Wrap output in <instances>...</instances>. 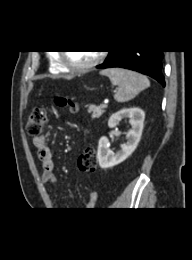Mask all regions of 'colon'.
<instances>
[{
  "label": "colon",
  "instance_id": "5ec220e1",
  "mask_svg": "<svg viewBox=\"0 0 192 260\" xmlns=\"http://www.w3.org/2000/svg\"><path fill=\"white\" fill-rule=\"evenodd\" d=\"M55 103L61 108H68L70 111H75V105L65 97H57ZM47 123L46 111L42 107L35 108L29 115L26 130L33 137L41 136L43 129ZM97 159L93 148H86L78 158V168L82 172L92 173L96 169Z\"/></svg>",
  "mask_w": 192,
  "mask_h": 260
}]
</instances>
